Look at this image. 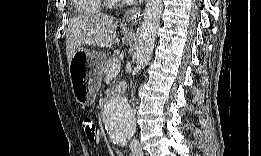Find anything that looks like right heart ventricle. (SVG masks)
<instances>
[{
	"instance_id": "e07e8e85",
	"label": "right heart ventricle",
	"mask_w": 261,
	"mask_h": 156,
	"mask_svg": "<svg viewBox=\"0 0 261 156\" xmlns=\"http://www.w3.org/2000/svg\"><path fill=\"white\" fill-rule=\"evenodd\" d=\"M75 4L79 6L84 11H95L98 10L101 1L98 0H76Z\"/></svg>"
}]
</instances>
